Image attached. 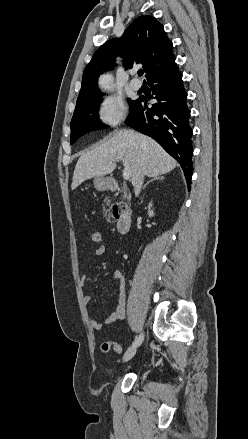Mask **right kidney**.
I'll return each instance as SVG.
<instances>
[{
	"mask_svg": "<svg viewBox=\"0 0 248 439\" xmlns=\"http://www.w3.org/2000/svg\"><path fill=\"white\" fill-rule=\"evenodd\" d=\"M151 207H152V202H150L149 205H148V215L150 217H153L154 216V212H153V210H151Z\"/></svg>",
	"mask_w": 248,
	"mask_h": 439,
	"instance_id": "obj_1",
	"label": "right kidney"
}]
</instances>
